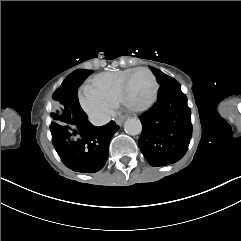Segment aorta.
I'll use <instances>...</instances> for the list:
<instances>
[{"instance_id": "762f6f07", "label": "aorta", "mask_w": 241, "mask_h": 241, "mask_svg": "<svg viewBox=\"0 0 241 241\" xmlns=\"http://www.w3.org/2000/svg\"><path fill=\"white\" fill-rule=\"evenodd\" d=\"M124 130L129 135H138L142 131V124L139 119L129 118L124 123Z\"/></svg>"}]
</instances>
